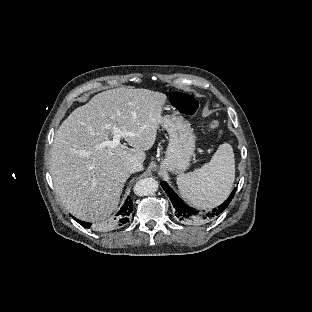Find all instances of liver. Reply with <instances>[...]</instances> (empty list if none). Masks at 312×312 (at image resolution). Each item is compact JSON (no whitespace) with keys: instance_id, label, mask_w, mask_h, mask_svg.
<instances>
[{"instance_id":"1","label":"liver","mask_w":312,"mask_h":312,"mask_svg":"<svg viewBox=\"0 0 312 312\" xmlns=\"http://www.w3.org/2000/svg\"><path fill=\"white\" fill-rule=\"evenodd\" d=\"M167 96L148 89L115 88L76 108L55 133L49 172L56 193L77 219L95 223L117 209L131 162H144L162 122ZM133 148L96 146L109 140L112 127Z\"/></svg>"}]
</instances>
